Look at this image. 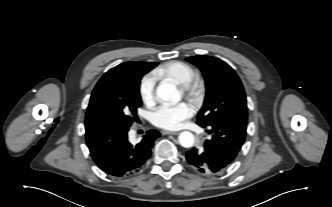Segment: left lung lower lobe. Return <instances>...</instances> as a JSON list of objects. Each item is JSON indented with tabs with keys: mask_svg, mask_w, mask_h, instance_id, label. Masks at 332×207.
Instances as JSON below:
<instances>
[{
	"mask_svg": "<svg viewBox=\"0 0 332 207\" xmlns=\"http://www.w3.org/2000/svg\"><path fill=\"white\" fill-rule=\"evenodd\" d=\"M206 128L211 138L200 149L186 153L187 162L198 173L215 175L223 172L234 161L246 136V124L223 123Z\"/></svg>",
	"mask_w": 332,
	"mask_h": 207,
	"instance_id": "obj_1",
	"label": "left lung lower lobe"
}]
</instances>
